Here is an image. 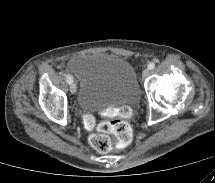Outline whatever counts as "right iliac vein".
Masks as SVG:
<instances>
[{"mask_svg":"<svg viewBox=\"0 0 215 183\" xmlns=\"http://www.w3.org/2000/svg\"><path fill=\"white\" fill-rule=\"evenodd\" d=\"M70 92L72 94H75V92H76V85H75V83H71L70 84Z\"/></svg>","mask_w":215,"mask_h":183,"instance_id":"obj_1","label":"right iliac vein"}]
</instances>
